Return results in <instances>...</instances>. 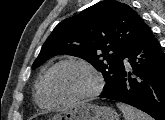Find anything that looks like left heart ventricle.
<instances>
[{"instance_id": "1", "label": "left heart ventricle", "mask_w": 165, "mask_h": 120, "mask_svg": "<svg viewBox=\"0 0 165 120\" xmlns=\"http://www.w3.org/2000/svg\"><path fill=\"white\" fill-rule=\"evenodd\" d=\"M95 84L92 74L82 66L68 64L57 68L50 77V87L60 99H70L90 91Z\"/></svg>"}]
</instances>
